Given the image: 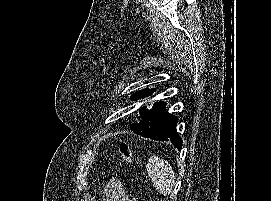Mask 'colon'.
<instances>
[{
  "label": "colon",
  "instance_id": "colon-1",
  "mask_svg": "<svg viewBox=\"0 0 271 201\" xmlns=\"http://www.w3.org/2000/svg\"><path fill=\"white\" fill-rule=\"evenodd\" d=\"M119 151H120V154H121L124 162L127 165L132 166L133 165V153H132L130 145L125 142L121 143L119 146Z\"/></svg>",
  "mask_w": 271,
  "mask_h": 201
}]
</instances>
